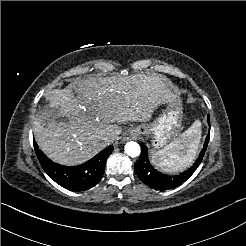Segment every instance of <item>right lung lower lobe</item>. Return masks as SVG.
I'll return each instance as SVG.
<instances>
[{
  "mask_svg": "<svg viewBox=\"0 0 246 246\" xmlns=\"http://www.w3.org/2000/svg\"><path fill=\"white\" fill-rule=\"evenodd\" d=\"M34 144L36 155L46 173L59 185L71 191H84L97 184L104 174L107 158L114 149L110 145L86 163L67 167L52 162L39 150L38 145Z\"/></svg>",
  "mask_w": 246,
  "mask_h": 246,
  "instance_id": "1",
  "label": "right lung lower lobe"
}]
</instances>
